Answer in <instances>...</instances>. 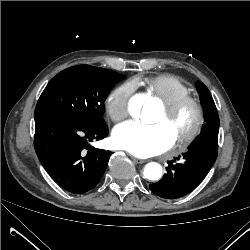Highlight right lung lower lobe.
Returning <instances> with one entry per match:
<instances>
[{"instance_id": "obj_1", "label": "right lung lower lobe", "mask_w": 250, "mask_h": 250, "mask_svg": "<svg viewBox=\"0 0 250 250\" xmlns=\"http://www.w3.org/2000/svg\"><path fill=\"white\" fill-rule=\"evenodd\" d=\"M107 125L81 120L38 116L34 147L49 175L63 189L79 194L91 190L103 176L111 151L90 147L107 136Z\"/></svg>"}]
</instances>
